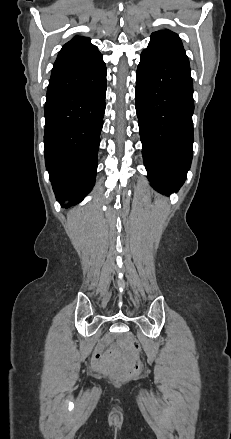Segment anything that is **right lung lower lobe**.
Masks as SVG:
<instances>
[{
  "mask_svg": "<svg viewBox=\"0 0 231 439\" xmlns=\"http://www.w3.org/2000/svg\"><path fill=\"white\" fill-rule=\"evenodd\" d=\"M106 65L51 77L45 103V164L57 200L80 203L95 183L103 126ZM69 205V206H70Z\"/></svg>",
  "mask_w": 231,
  "mask_h": 439,
  "instance_id": "obj_1",
  "label": "right lung lower lobe"
}]
</instances>
